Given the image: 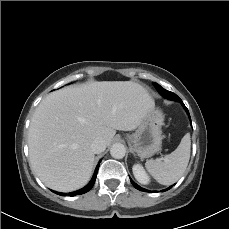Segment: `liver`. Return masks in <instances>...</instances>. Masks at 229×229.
Wrapping results in <instances>:
<instances>
[{
    "instance_id": "1",
    "label": "liver",
    "mask_w": 229,
    "mask_h": 229,
    "mask_svg": "<svg viewBox=\"0 0 229 229\" xmlns=\"http://www.w3.org/2000/svg\"><path fill=\"white\" fill-rule=\"evenodd\" d=\"M154 106L148 91L133 81H95L50 93L29 127L32 170L53 190L80 189L94 167L93 140L110 145L116 130L136 129Z\"/></svg>"
}]
</instances>
